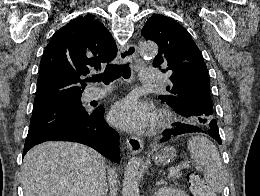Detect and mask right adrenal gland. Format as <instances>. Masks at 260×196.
<instances>
[{
  "label": "right adrenal gland",
  "instance_id": "1",
  "mask_svg": "<svg viewBox=\"0 0 260 196\" xmlns=\"http://www.w3.org/2000/svg\"><path fill=\"white\" fill-rule=\"evenodd\" d=\"M107 194H108V186H105V194H104V196H107Z\"/></svg>",
  "mask_w": 260,
  "mask_h": 196
}]
</instances>
